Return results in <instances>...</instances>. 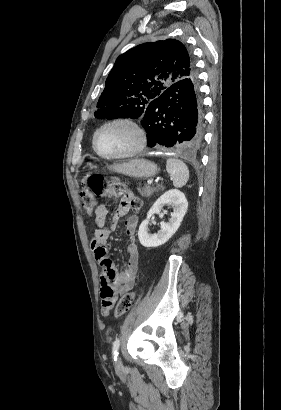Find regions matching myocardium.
<instances>
[{"label": "myocardium", "mask_w": 281, "mask_h": 410, "mask_svg": "<svg viewBox=\"0 0 281 410\" xmlns=\"http://www.w3.org/2000/svg\"><path fill=\"white\" fill-rule=\"evenodd\" d=\"M119 124L129 126L130 128L133 129V131L135 132L137 136L136 145L131 150L125 153L119 154V155H107V154L102 153L98 149L97 142H96L99 132L106 127L113 126V125H119ZM146 144H147V135H146L145 130L138 122H136L135 120L129 117H117V118H113L111 120L104 122L94 131L93 136H92V147L94 151L96 152L97 155L107 160H119V159H125V158L135 156L144 150V148L146 147Z\"/></svg>", "instance_id": "f54148a6"}]
</instances>
